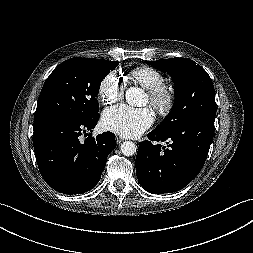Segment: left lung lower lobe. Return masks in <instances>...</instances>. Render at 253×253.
Listing matches in <instances>:
<instances>
[{"label": "left lung lower lobe", "instance_id": "0a47b994", "mask_svg": "<svg viewBox=\"0 0 253 253\" xmlns=\"http://www.w3.org/2000/svg\"><path fill=\"white\" fill-rule=\"evenodd\" d=\"M214 119L198 117L170 132L154 129L139 144L135 166L140 185L150 193H172L201 171L213 140ZM166 142L161 146L156 142Z\"/></svg>", "mask_w": 253, "mask_h": 253}]
</instances>
